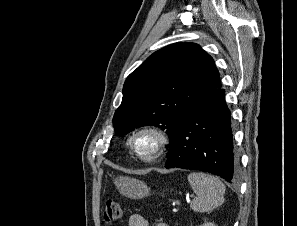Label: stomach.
<instances>
[{
    "label": "stomach",
    "instance_id": "0dacf381",
    "mask_svg": "<svg viewBox=\"0 0 297 226\" xmlns=\"http://www.w3.org/2000/svg\"><path fill=\"white\" fill-rule=\"evenodd\" d=\"M114 183L121 194L131 199H141L150 194L146 183L130 177H117Z\"/></svg>",
    "mask_w": 297,
    "mask_h": 226
}]
</instances>
